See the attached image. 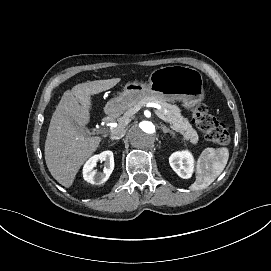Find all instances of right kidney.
I'll return each mask as SVG.
<instances>
[{"label":"right kidney","mask_w":271,"mask_h":271,"mask_svg":"<svg viewBox=\"0 0 271 271\" xmlns=\"http://www.w3.org/2000/svg\"><path fill=\"white\" fill-rule=\"evenodd\" d=\"M104 161L103 172L94 170L98 161ZM114 169V157L112 151H103L98 155L92 156L83 167V178L85 181L95 185L105 183Z\"/></svg>","instance_id":"right-kidney-1"}]
</instances>
